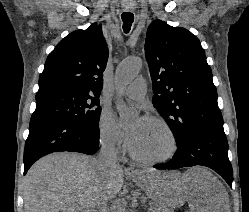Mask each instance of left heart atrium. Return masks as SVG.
<instances>
[{"label":"left heart atrium","instance_id":"obj_1","mask_svg":"<svg viewBox=\"0 0 249 212\" xmlns=\"http://www.w3.org/2000/svg\"><path fill=\"white\" fill-rule=\"evenodd\" d=\"M138 126L134 125L125 132V138L129 148L132 150L138 141Z\"/></svg>","mask_w":249,"mask_h":212}]
</instances>
